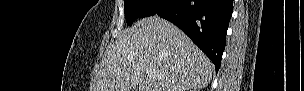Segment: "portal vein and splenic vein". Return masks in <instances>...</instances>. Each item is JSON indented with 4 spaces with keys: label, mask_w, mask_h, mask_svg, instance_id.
Listing matches in <instances>:
<instances>
[{
    "label": "portal vein and splenic vein",
    "mask_w": 304,
    "mask_h": 91,
    "mask_svg": "<svg viewBox=\"0 0 304 91\" xmlns=\"http://www.w3.org/2000/svg\"><path fill=\"white\" fill-rule=\"evenodd\" d=\"M146 74L152 75V71H151L150 69H147V70H146Z\"/></svg>",
    "instance_id": "1"
}]
</instances>
